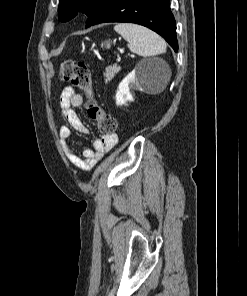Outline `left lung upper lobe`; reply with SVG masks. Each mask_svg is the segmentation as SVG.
<instances>
[{"mask_svg":"<svg viewBox=\"0 0 247 296\" xmlns=\"http://www.w3.org/2000/svg\"><path fill=\"white\" fill-rule=\"evenodd\" d=\"M105 0H59L58 17L65 22L75 17L79 11L88 17L94 14Z\"/></svg>","mask_w":247,"mask_h":296,"instance_id":"left-lung-upper-lobe-1","label":"left lung upper lobe"}]
</instances>
